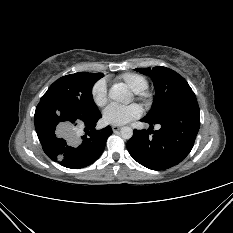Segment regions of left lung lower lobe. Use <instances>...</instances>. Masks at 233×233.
<instances>
[{"label":"left lung lower lobe","instance_id":"obj_1","mask_svg":"<svg viewBox=\"0 0 233 233\" xmlns=\"http://www.w3.org/2000/svg\"><path fill=\"white\" fill-rule=\"evenodd\" d=\"M161 128L153 131L134 130L127 142L130 155L138 163L152 170H165L179 164L191 151L200 127L199 106L194 93L180 100L161 119L151 122Z\"/></svg>","mask_w":233,"mask_h":233}]
</instances>
